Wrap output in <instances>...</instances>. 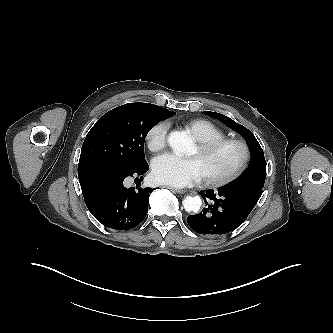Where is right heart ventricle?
Wrapping results in <instances>:
<instances>
[{"label":"right heart ventricle","instance_id":"obj_1","mask_svg":"<svg viewBox=\"0 0 333 333\" xmlns=\"http://www.w3.org/2000/svg\"><path fill=\"white\" fill-rule=\"evenodd\" d=\"M198 142L217 140L225 137L224 131L215 123L206 119H193L185 124Z\"/></svg>","mask_w":333,"mask_h":333}]
</instances>
